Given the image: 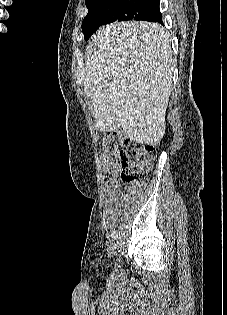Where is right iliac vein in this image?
Segmentation results:
<instances>
[{"mask_svg": "<svg viewBox=\"0 0 227 315\" xmlns=\"http://www.w3.org/2000/svg\"><path fill=\"white\" fill-rule=\"evenodd\" d=\"M117 247H118L117 242H114V243H113V248L116 249Z\"/></svg>", "mask_w": 227, "mask_h": 315, "instance_id": "63e3f726", "label": "right iliac vein"}]
</instances>
